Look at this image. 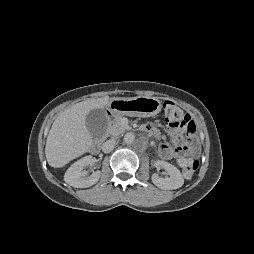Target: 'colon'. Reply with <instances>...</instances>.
I'll return each mask as SVG.
<instances>
[{"label":"colon","mask_w":254,"mask_h":254,"mask_svg":"<svg viewBox=\"0 0 254 254\" xmlns=\"http://www.w3.org/2000/svg\"><path fill=\"white\" fill-rule=\"evenodd\" d=\"M164 116L169 128H184L189 139L194 141L196 124L191 116L173 102L164 104ZM191 154H195L196 146H190ZM178 165L186 178H191L198 168V160L195 156H182L178 159Z\"/></svg>","instance_id":"colon-1"}]
</instances>
